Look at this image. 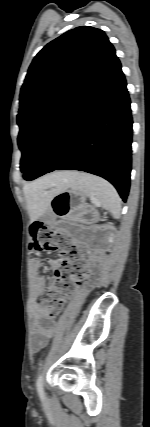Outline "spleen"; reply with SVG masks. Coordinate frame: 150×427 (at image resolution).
<instances>
[{
  "mask_svg": "<svg viewBox=\"0 0 150 427\" xmlns=\"http://www.w3.org/2000/svg\"><path fill=\"white\" fill-rule=\"evenodd\" d=\"M71 187L81 190L94 204L102 206L115 218H119L121 199L115 188L106 180L87 173L75 172Z\"/></svg>",
  "mask_w": 150,
  "mask_h": 427,
  "instance_id": "obj_1",
  "label": "spleen"
}]
</instances>
